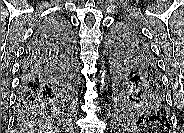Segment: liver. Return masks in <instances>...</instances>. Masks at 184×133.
<instances>
[{
	"label": "liver",
	"mask_w": 184,
	"mask_h": 133,
	"mask_svg": "<svg viewBox=\"0 0 184 133\" xmlns=\"http://www.w3.org/2000/svg\"><path fill=\"white\" fill-rule=\"evenodd\" d=\"M22 131H28V133H59V130L53 127L48 121H38L28 125Z\"/></svg>",
	"instance_id": "obj_1"
}]
</instances>
